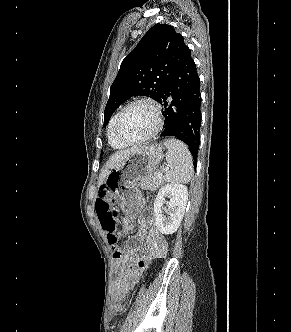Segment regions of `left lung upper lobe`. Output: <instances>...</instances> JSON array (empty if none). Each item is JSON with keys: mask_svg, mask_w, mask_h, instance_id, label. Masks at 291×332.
<instances>
[{"mask_svg": "<svg viewBox=\"0 0 291 332\" xmlns=\"http://www.w3.org/2000/svg\"><path fill=\"white\" fill-rule=\"evenodd\" d=\"M186 47L183 36L176 33L173 26L154 25L121 63L110 88L104 126L114 111L132 96H147L159 101Z\"/></svg>", "mask_w": 291, "mask_h": 332, "instance_id": "5c2ea615", "label": "left lung upper lobe"}]
</instances>
